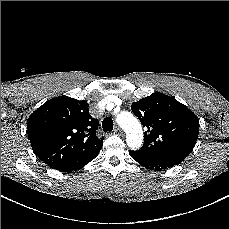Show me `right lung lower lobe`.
<instances>
[{
  "label": "right lung lower lobe",
  "mask_w": 229,
  "mask_h": 229,
  "mask_svg": "<svg viewBox=\"0 0 229 229\" xmlns=\"http://www.w3.org/2000/svg\"><path fill=\"white\" fill-rule=\"evenodd\" d=\"M98 153L99 152H97L96 154H94V155H92V156H90V157H88L86 159H83V160L77 162L76 164H74V165H72V166H70V167H68L66 169L60 170V171H62V172H73V171H77V170L83 168L91 160H93L94 158H96L97 155H98Z\"/></svg>",
  "instance_id": "obj_1"
}]
</instances>
